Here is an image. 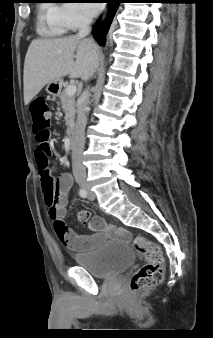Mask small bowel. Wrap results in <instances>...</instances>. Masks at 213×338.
<instances>
[{
  "mask_svg": "<svg viewBox=\"0 0 213 338\" xmlns=\"http://www.w3.org/2000/svg\"><path fill=\"white\" fill-rule=\"evenodd\" d=\"M38 149L43 153L51 155L52 150L48 143L39 144ZM71 188V176L68 173H62L57 178L56 191L58 193V202L56 204L57 215L56 219L59 223L63 224L67 215L66 204L69 197ZM77 219L82 223H89L90 214L88 211L79 210L76 213ZM96 221L103 224V219L99 216L95 217ZM65 228V227H64ZM66 231H58L59 240L66 245V247L74 252H87L95 249L97 244L103 241L109 233L102 228L94 229L93 235H85L77 233L71 229L65 228ZM115 236L118 239H128L129 233L124 228H118Z\"/></svg>",
  "mask_w": 213,
  "mask_h": 338,
  "instance_id": "obj_1",
  "label": "small bowel"
}]
</instances>
